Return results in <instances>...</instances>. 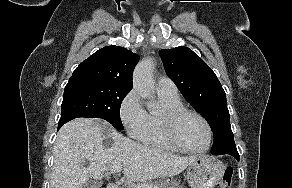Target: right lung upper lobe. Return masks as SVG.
Listing matches in <instances>:
<instances>
[{
	"mask_svg": "<svg viewBox=\"0 0 292 188\" xmlns=\"http://www.w3.org/2000/svg\"><path fill=\"white\" fill-rule=\"evenodd\" d=\"M139 56L123 47L106 46L84 60L69 81H92L132 89V73Z\"/></svg>",
	"mask_w": 292,
	"mask_h": 188,
	"instance_id": "1",
	"label": "right lung upper lobe"
}]
</instances>
